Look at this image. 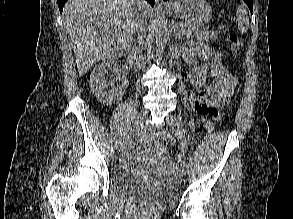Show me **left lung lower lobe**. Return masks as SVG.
Instances as JSON below:
<instances>
[{"label": "left lung lower lobe", "instance_id": "1", "mask_svg": "<svg viewBox=\"0 0 293 219\" xmlns=\"http://www.w3.org/2000/svg\"><path fill=\"white\" fill-rule=\"evenodd\" d=\"M244 2L248 5L250 12L253 13V0H244Z\"/></svg>", "mask_w": 293, "mask_h": 219}]
</instances>
